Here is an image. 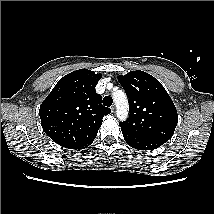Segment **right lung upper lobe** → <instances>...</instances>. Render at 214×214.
I'll use <instances>...</instances> for the list:
<instances>
[{
    "label": "right lung upper lobe",
    "instance_id": "1",
    "mask_svg": "<svg viewBox=\"0 0 214 214\" xmlns=\"http://www.w3.org/2000/svg\"><path fill=\"white\" fill-rule=\"evenodd\" d=\"M101 74L79 69L62 77L40 106L44 132L68 149H84L94 141L102 118L111 110L101 104L95 87Z\"/></svg>",
    "mask_w": 214,
    "mask_h": 214
}]
</instances>
